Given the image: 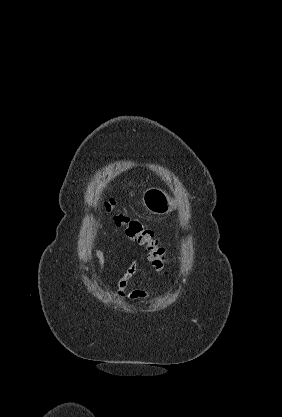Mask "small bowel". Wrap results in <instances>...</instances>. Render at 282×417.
<instances>
[{"mask_svg":"<svg viewBox=\"0 0 282 417\" xmlns=\"http://www.w3.org/2000/svg\"><path fill=\"white\" fill-rule=\"evenodd\" d=\"M95 256L99 263L98 272L101 273L106 264V258L101 249L95 250ZM137 271L136 261H132L126 265L124 272L118 278V290L116 295L120 299H126L128 301H140L149 297V292L143 288H135L128 290V284L132 276ZM150 274V273H148Z\"/></svg>","mask_w":282,"mask_h":417,"instance_id":"small-bowel-1","label":"small bowel"}]
</instances>
